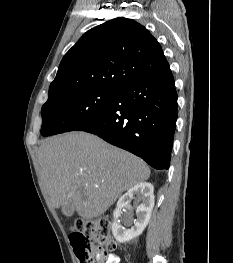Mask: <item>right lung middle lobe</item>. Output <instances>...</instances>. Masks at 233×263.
<instances>
[{"label": "right lung middle lobe", "mask_w": 233, "mask_h": 263, "mask_svg": "<svg viewBox=\"0 0 233 263\" xmlns=\"http://www.w3.org/2000/svg\"><path fill=\"white\" fill-rule=\"evenodd\" d=\"M117 90L85 88L63 92L48 98L41 109L43 136L72 131L102 113Z\"/></svg>", "instance_id": "dd1d6c3e"}]
</instances>
